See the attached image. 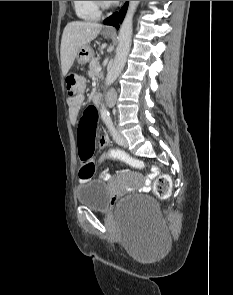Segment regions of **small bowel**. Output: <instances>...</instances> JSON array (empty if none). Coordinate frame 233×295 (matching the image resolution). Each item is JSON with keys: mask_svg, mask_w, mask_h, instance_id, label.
<instances>
[{"mask_svg": "<svg viewBox=\"0 0 233 295\" xmlns=\"http://www.w3.org/2000/svg\"><path fill=\"white\" fill-rule=\"evenodd\" d=\"M83 102H84V97L83 95H80L76 98H69L67 103H68V108H69V118L72 122H75L80 114V111H81V108H82V105H83ZM88 111L90 112H94L93 109H89ZM108 143V140L105 138V137H102L100 139V145L101 146H105L106 144ZM125 172V171H123ZM154 174L152 173L151 174V177H153ZM102 179L108 181L110 180L111 176L110 174L105 170L103 171L102 175H101ZM150 190V187L149 186H144L141 191H149Z\"/></svg>", "mask_w": 233, "mask_h": 295, "instance_id": "obj_1", "label": "small bowel"}]
</instances>
